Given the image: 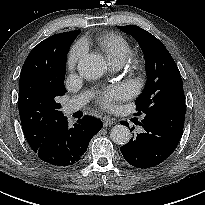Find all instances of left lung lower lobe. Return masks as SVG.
I'll return each instance as SVG.
<instances>
[{"instance_id":"1","label":"left lung lower lobe","mask_w":205,"mask_h":205,"mask_svg":"<svg viewBox=\"0 0 205 205\" xmlns=\"http://www.w3.org/2000/svg\"><path fill=\"white\" fill-rule=\"evenodd\" d=\"M185 112V104H173L162 105L144 115L141 122H137L142 132L120 148L124 159L130 165L142 169L154 167L166 160L181 139ZM122 124L129 126L125 121Z\"/></svg>"}]
</instances>
